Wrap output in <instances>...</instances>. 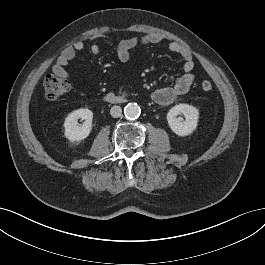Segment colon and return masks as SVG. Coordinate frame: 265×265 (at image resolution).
<instances>
[{
	"mask_svg": "<svg viewBox=\"0 0 265 265\" xmlns=\"http://www.w3.org/2000/svg\"><path fill=\"white\" fill-rule=\"evenodd\" d=\"M43 86L44 95L50 101L57 100L68 91V84L55 75H48L44 80ZM200 89L204 92H210L213 90V85L209 80L204 79L200 82Z\"/></svg>",
	"mask_w": 265,
	"mask_h": 265,
	"instance_id": "1",
	"label": "colon"
}]
</instances>
